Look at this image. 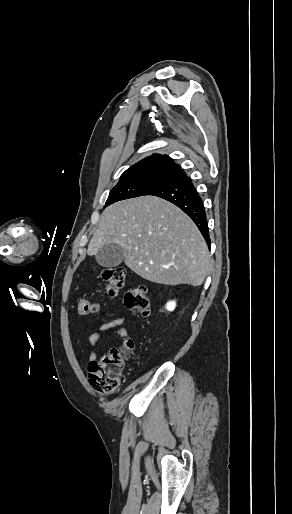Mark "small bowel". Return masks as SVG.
<instances>
[{
	"label": "small bowel",
	"instance_id": "small-bowel-1",
	"mask_svg": "<svg viewBox=\"0 0 292 514\" xmlns=\"http://www.w3.org/2000/svg\"><path fill=\"white\" fill-rule=\"evenodd\" d=\"M95 321L100 322L101 325L98 330L93 331L89 336V360L91 366L95 365L94 361L97 357L96 349L99 341L103 340L108 335L118 336L124 340L130 339L129 331L125 327V323L127 322L125 317H114L113 313H108L106 315H98Z\"/></svg>",
	"mask_w": 292,
	"mask_h": 514
}]
</instances>
